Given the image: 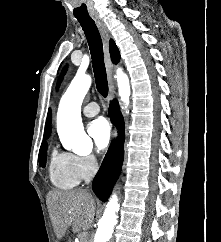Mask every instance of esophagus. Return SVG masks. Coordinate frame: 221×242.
<instances>
[{
    "instance_id": "obj_1",
    "label": "esophagus",
    "mask_w": 221,
    "mask_h": 242,
    "mask_svg": "<svg viewBox=\"0 0 221 242\" xmlns=\"http://www.w3.org/2000/svg\"><path fill=\"white\" fill-rule=\"evenodd\" d=\"M94 21L101 33L102 39H103V49H104V61L107 71V77L109 82V95L108 99L111 100L114 96V86H113V77H112V63L111 58L109 54V31L105 25V23L100 18H94ZM114 136L117 137V132H114Z\"/></svg>"
}]
</instances>
